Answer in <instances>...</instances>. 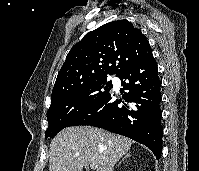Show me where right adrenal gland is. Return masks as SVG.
Wrapping results in <instances>:
<instances>
[{
    "label": "right adrenal gland",
    "mask_w": 199,
    "mask_h": 171,
    "mask_svg": "<svg viewBox=\"0 0 199 171\" xmlns=\"http://www.w3.org/2000/svg\"><path fill=\"white\" fill-rule=\"evenodd\" d=\"M130 156H131V152H127V153H125L124 157L121 159V161L119 162V164H118V165H120V164H121V162H123L127 157H130Z\"/></svg>",
    "instance_id": "1"
}]
</instances>
